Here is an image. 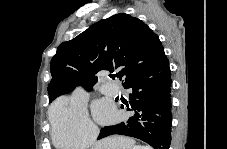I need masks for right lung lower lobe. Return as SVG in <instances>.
Listing matches in <instances>:
<instances>
[{"mask_svg": "<svg viewBox=\"0 0 227 149\" xmlns=\"http://www.w3.org/2000/svg\"><path fill=\"white\" fill-rule=\"evenodd\" d=\"M132 89L127 121L104 127L98 139L120 134L145 141L154 149H169L171 143V86L169 61L165 57L154 67L139 72L123 83Z\"/></svg>", "mask_w": 227, "mask_h": 149, "instance_id": "obj_1", "label": "right lung lower lobe"}]
</instances>
